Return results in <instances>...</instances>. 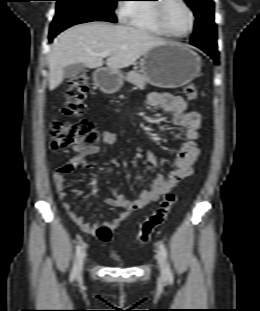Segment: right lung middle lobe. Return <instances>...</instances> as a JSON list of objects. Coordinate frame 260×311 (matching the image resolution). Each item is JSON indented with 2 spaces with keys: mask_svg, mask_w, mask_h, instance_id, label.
<instances>
[{
  "mask_svg": "<svg viewBox=\"0 0 260 311\" xmlns=\"http://www.w3.org/2000/svg\"><path fill=\"white\" fill-rule=\"evenodd\" d=\"M54 23L62 20L108 21L116 23L113 10L119 0H56Z\"/></svg>",
  "mask_w": 260,
  "mask_h": 311,
  "instance_id": "1",
  "label": "right lung middle lobe"
}]
</instances>
